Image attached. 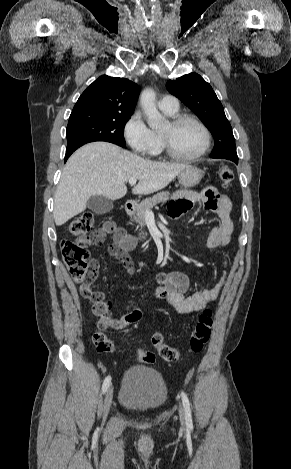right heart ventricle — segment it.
Segmentation results:
<instances>
[{"instance_id":"right-heart-ventricle-1","label":"right heart ventricle","mask_w":291,"mask_h":469,"mask_svg":"<svg viewBox=\"0 0 291 469\" xmlns=\"http://www.w3.org/2000/svg\"><path fill=\"white\" fill-rule=\"evenodd\" d=\"M162 111L166 115L173 117L174 115H176L178 110L175 111V112H169V111H165V110H162ZM154 135H155V145H154V148L152 149V151L150 152V155L152 157L158 158L162 155L163 148H162L160 133L154 132Z\"/></svg>"}]
</instances>
